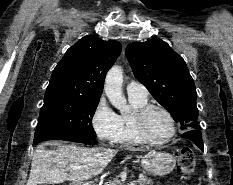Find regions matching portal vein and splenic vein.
Wrapping results in <instances>:
<instances>
[{
	"label": "portal vein and splenic vein",
	"instance_id": "portal-vein-and-splenic-vein-1",
	"mask_svg": "<svg viewBox=\"0 0 233 185\" xmlns=\"http://www.w3.org/2000/svg\"><path fill=\"white\" fill-rule=\"evenodd\" d=\"M81 167L82 166H80V165H72V166H70V168L71 169H74V170H76V169H81ZM128 185H135L134 183H130V184H128Z\"/></svg>",
	"mask_w": 233,
	"mask_h": 185
}]
</instances>
